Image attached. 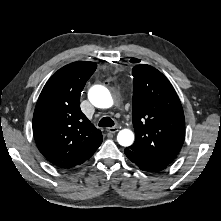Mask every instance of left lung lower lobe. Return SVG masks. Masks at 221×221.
Returning a JSON list of instances; mask_svg holds the SVG:
<instances>
[{
    "mask_svg": "<svg viewBox=\"0 0 221 221\" xmlns=\"http://www.w3.org/2000/svg\"><path fill=\"white\" fill-rule=\"evenodd\" d=\"M124 153L131 162L135 163L141 170L144 171L159 172L168 166L147 155L132 151L129 148H126Z\"/></svg>",
    "mask_w": 221,
    "mask_h": 221,
    "instance_id": "1",
    "label": "left lung lower lobe"
}]
</instances>
